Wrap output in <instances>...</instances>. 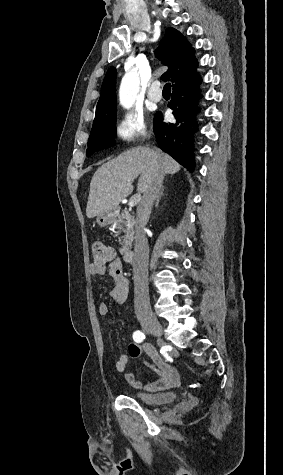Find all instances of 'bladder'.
<instances>
[{
	"label": "bladder",
	"instance_id": "bladder-1",
	"mask_svg": "<svg viewBox=\"0 0 283 475\" xmlns=\"http://www.w3.org/2000/svg\"><path fill=\"white\" fill-rule=\"evenodd\" d=\"M131 398L139 402L149 405H157L166 403L168 400L175 401L177 399L176 393H148L145 391H134L131 393Z\"/></svg>",
	"mask_w": 283,
	"mask_h": 475
}]
</instances>
